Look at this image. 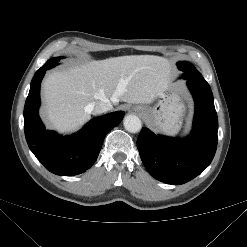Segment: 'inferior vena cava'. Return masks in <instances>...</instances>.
Instances as JSON below:
<instances>
[{"label":"inferior vena cava","instance_id":"obj_1","mask_svg":"<svg viewBox=\"0 0 247 247\" xmlns=\"http://www.w3.org/2000/svg\"><path fill=\"white\" fill-rule=\"evenodd\" d=\"M113 108L111 102L107 99L101 101H95L87 106L89 112H94L95 114H101L110 111Z\"/></svg>","mask_w":247,"mask_h":247}]
</instances>
